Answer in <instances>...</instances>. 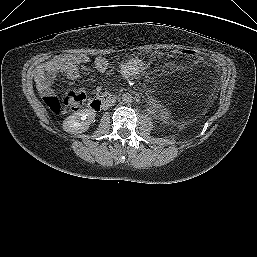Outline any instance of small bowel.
<instances>
[{
    "instance_id": "small-bowel-1",
    "label": "small bowel",
    "mask_w": 257,
    "mask_h": 257,
    "mask_svg": "<svg viewBox=\"0 0 257 257\" xmlns=\"http://www.w3.org/2000/svg\"><path fill=\"white\" fill-rule=\"evenodd\" d=\"M89 58L84 54L70 56H58L40 65L36 72L35 80L42 97L53 96L52 83L60 75L70 80H76L79 75V67L86 64ZM95 68L105 72L109 68V60L99 56L94 61Z\"/></svg>"
}]
</instances>
